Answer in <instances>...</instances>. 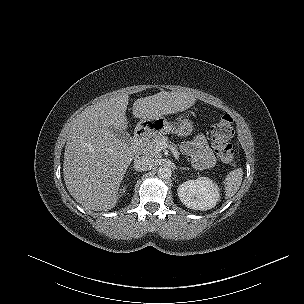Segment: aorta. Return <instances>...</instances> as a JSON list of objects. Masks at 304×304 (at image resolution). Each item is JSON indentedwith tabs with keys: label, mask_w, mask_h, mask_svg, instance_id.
I'll use <instances>...</instances> for the list:
<instances>
[{
	"label": "aorta",
	"mask_w": 304,
	"mask_h": 304,
	"mask_svg": "<svg viewBox=\"0 0 304 304\" xmlns=\"http://www.w3.org/2000/svg\"><path fill=\"white\" fill-rule=\"evenodd\" d=\"M171 169L168 168V167H160L158 169V176L161 178V179H168L171 177Z\"/></svg>",
	"instance_id": "1"
}]
</instances>
